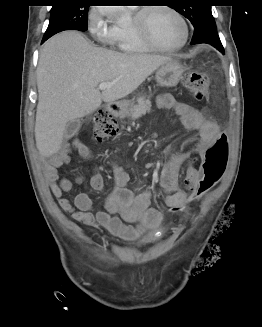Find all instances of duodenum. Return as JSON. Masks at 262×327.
I'll return each instance as SVG.
<instances>
[{
    "instance_id": "duodenum-1",
    "label": "duodenum",
    "mask_w": 262,
    "mask_h": 327,
    "mask_svg": "<svg viewBox=\"0 0 262 327\" xmlns=\"http://www.w3.org/2000/svg\"><path fill=\"white\" fill-rule=\"evenodd\" d=\"M110 111L114 116H118L122 112V106L120 104H113L110 106Z\"/></svg>"
}]
</instances>
